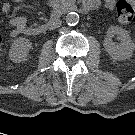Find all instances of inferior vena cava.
<instances>
[{
    "instance_id": "602c4592",
    "label": "inferior vena cava",
    "mask_w": 135,
    "mask_h": 135,
    "mask_svg": "<svg viewBox=\"0 0 135 135\" xmlns=\"http://www.w3.org/2000/svg\"><path fill=\"white\" fill-rule=\"evenodd\" d=\"M61 20H59L58 18L54 19L52 22L48 23V28L50 30L56 29L58 27L61 26Z\"/></svg>"
}]
</instances>
